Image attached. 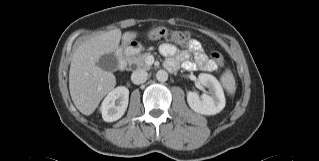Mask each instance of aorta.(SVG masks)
<instances>
[{
    "instance_id": "obj_1",
    "label": "aorta",
    "mask_w": 319,
    "mask_h": 161,
    "mask_svg": "<svg viewBox=\"0 0 319 161\" xmlns=\"http://www.w3.org/2000/svg\"><path fill=\"white\" fill-rule=\"evenodd\" d=\"M156 78L159 82H165L168 79V73L165 70H159L156 73Z\"/></svg>"
}]
</instances>
